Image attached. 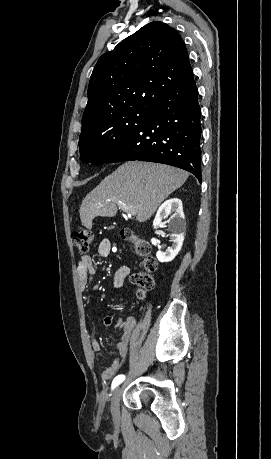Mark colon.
Wrapping results in <instances>:
<instances>
[{
  "mask_svg": "<svg viewBox=\"0 0 271 459\" xmlns=\"http://www.w3.org/2000/svg\"><path fill=\"white\" fill-rule=\"evenodd\" d=\"M122 237L126 240H133V235L128 229L122 231ZM71 238L74 248L80 252H86L93 240V233L89 229H79L72 233ZM134 242L136 253L143 258L142 267L144 271L132 275L131 282L137 287L138 295L143 296L154 286L152 273L157 268V262L150 255L151 246L147 241L137 239Z\"/></svg>",
  "mask_w": 271,
  "mask_h": 459,
  "instance_id": "obj_1",
  "label": "colon"
}]
</instances>
